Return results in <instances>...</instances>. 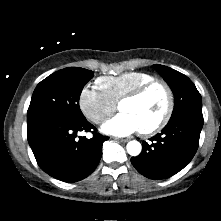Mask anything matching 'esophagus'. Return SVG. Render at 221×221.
<instances>
[{
	"label": "esophagus",
	"mask_w": 221,
	"mask_h": 221,
	"mask_svg": "<svg viewBox=\"0 0 221 221\" xmlns=\"http://www.w3.org/2000/svg\"><path fill=\"white\" fill-rule=\"evenodd\" d=\"M114 140L121 143H126L128 141V139H120V138H114Z\"/></svg>",
	"instance_id": "34e87169"
}]
</instances>
